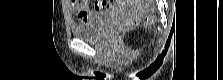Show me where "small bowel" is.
Here are the masks:
<instances>
[{"label":"small bowel","instance_id":"obj_1","mask_svg":"<svg viewBox=\"0 0 223 80\" xmlns=\"http://www.w3.org/2000/svg\"><path fill=\"white\" fill-rule=\"evenodd\" d=\"M112 2H97L93 8H90L87 3H78L72 1V8L75 15L83 21L94 19L102 13L109 11L112 8Z\"/></svg>","mask_w":223,"mask_h":80}]
</instances>
